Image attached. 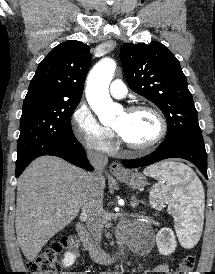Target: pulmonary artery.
Segmentation results:
<instances>
[{"label":"pulmonary artery","mask_w":215,"mask_h":274,"mask_svg":"<svg viewBox=\"0 0 215 274\" xmlns=\"http://www.w3.org/2000/svg\"><path fill=\"white\" fill-rule=\"evenodd\" d=\"M110 94L114 98H124L127 94V88L126 85L119 79L114 80L109 88Z\"/></svg>","instance_id":"1"}]
</instances>
